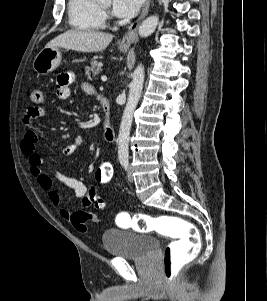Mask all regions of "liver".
Masks as SVG:
<instances>
[{
    "mask_svg": "<svg viewBox=\"0 0 267 301\" xmlns=\"http://www.w3.org/2000/svg\"><path fill=\"white\" fill-rule=\"evenodd\" d=\"M113 35L96 31L72 29L51 40L45 48L63 47L78 52L103 51L112 41Z\"/></svg>",
    "mask_w": 267,
    "mask_h": 301,
    "instance_id": "1",
    "label": "liver"
}]
</instances>
